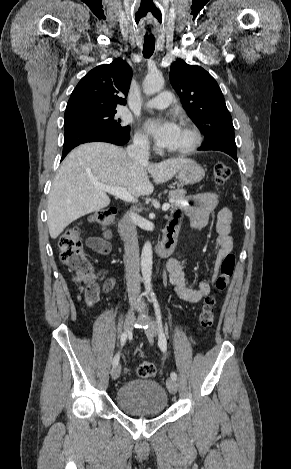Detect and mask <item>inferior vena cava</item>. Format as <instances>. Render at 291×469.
Listing matches in <instances>:
<instances>
[{
	"label": "inferior vena cava",
	"mask_w": 291,
	"mask_h": 469,
	"mask_svg": "<svg viewBox=\"0 0 291 469\" xmlns=\"http://www.w3.org/2000/svg\"><path fill=\"white\" fill-rule=\"evenodd\" d=\"M128 156L137 162L146 163L149 160V143L142 137H135L133 144L126 149ZM124 261L126 266V281L131 306H142L140 294L139 246L133 214L128 213L124 227Z\"/></svg>",
	"instance_id": "602c4592"
}]
</instances>
